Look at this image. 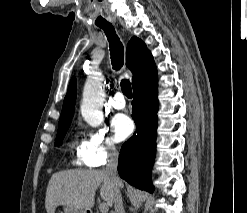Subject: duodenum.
I'll return each instance as SVG.
<instances>
[{"instance_id":"obj_1","label":"duodenum","mask_w":247,"mask_h":213,"mask_svg":"<svg viewBox=\"0 0 247 213\" xmlns=\"http://www.w3.org/2000/svg\"><path fill=\"white\" fill-rule=\"evenodd\" d=\"M87 213H94V212H92V211H88Z\"/></svg>"}]
</instances>
